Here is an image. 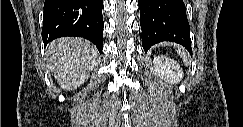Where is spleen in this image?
<instances>
[{
	"label": "spleen",
	"instance_id": "1",
	"mask_svg": "<svg viewBox=\"0 0 243 127\" xmlns=\"http://www.w3.org/2000/svg\"><path fill=\"white\" fill-rule=\"evenodd\" d=\"M179 54H181L182 58L184 59L186 64H189V62L187 61V57H186V53L182 52L181 49L177 50Z\"/></svg>",
	"mask_w": 243,
	"mask_h": 127
}]
</instances>
